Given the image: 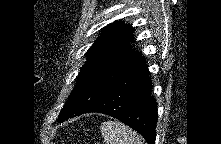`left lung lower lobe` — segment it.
I'll list each match as a JSON object with an SVG mask.
<instances>
[{"label": "left lung lower lobe", "mask_w": 221, "mask_h": 144, "mask_svg": "<svg viewBox=\"0 0 221 144\" xmlns=\"http://www.w3.org/2000/svg\"><path fill=\"white\" fill-rule=\"evenodd\" d=\"M151 86L146 59L141 54L84 113L115 117L141 134L148 144H155L157 103L151 97Z\"/></svg>", "instance_id": "1"}]
</instances>
